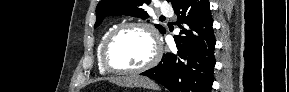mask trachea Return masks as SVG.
Returning <instances> with one entry per match:
<instances>
[{
  "instance_id": "1",
  "label": "trachea",
  "mask_w": 289,
  "mask_h": 92,
  "mask_svg": "<svg viewBox=\"0 0 289 92\" xmlns=\"http://www.w3.org/2000/svg\"><path fill=\"white\" fill-rule=\"evenodd\" d=\"M160 18H165L164 16H161Z\"/></svg>"
}]
</instances>
